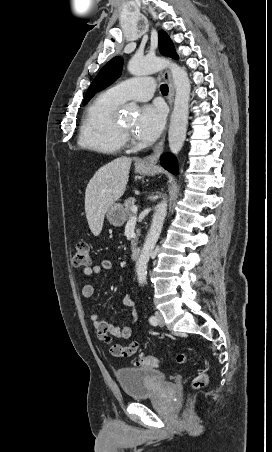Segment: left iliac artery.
I'll return each mask as SVG.
<instances>
[{"label": "left iliac artery", "mask_w": 272, "mask_h": 452, "mask_svg": "<svg viewBox=\"0 0 272 452\" xmlns=\"http://www.w3.org/2000/svg\"><path fill=\"white\" fill-rule=\"evenodd\" d=\"M149 322H150L152 325H157V318H156L155 316H150Z\"/></svg>", "instance_id": "44dca946"}]
</instances>
